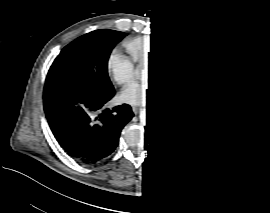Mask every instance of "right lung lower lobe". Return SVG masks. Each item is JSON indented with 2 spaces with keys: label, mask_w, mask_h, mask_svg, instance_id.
Masks as SVG:
<instances>
[{
  "label": "right lung lower lobe",
  "mask_w": 270,
  "mask_h": 213,
  "mask_svg": "<svg viewBox=\"0 0 270 213\" xmlns=\"http://www.w3.org/2000/svg\"><path fill=\"white\" fill-rule=\"evenodd\" d=\"M114 94V90L102 92L83 85H45L43 105L48 124L74 160L96 164L117 147L121 130L134 114L127 104L108 108Z\"/></svg>",
  "instance_id": "98d812e1"
}]
</instances>
